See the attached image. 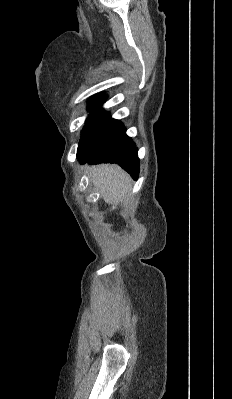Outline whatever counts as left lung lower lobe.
<instances>
[{
  "mask_svg": "<svg viewBox=\"0 0 232 399\" xmlns=\"http://www.w3.org/2000/svg\"><path fill=\"white\" fill-rule=\"evenodd\" d=\"M137 150L135 143L126 135V128L122 124L102 146L87 152L78 160L89 164L116 163L137 180L139 175Z\"/></svg>",
  "mask_w": 232,
  "mask_h": 399,
  "instance_id": "obj_1",
  "label": "left lung lower lobe"
}]
</instances>
